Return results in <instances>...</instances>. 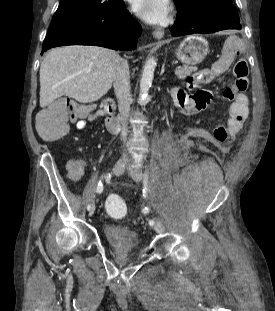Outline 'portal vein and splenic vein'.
Returning <instances> with one entry per match:
<instances>
[{
	"mask_svg": "<svg viewBox=\"0 0 275 311\" xmlns=\"http://www.w3.org/2000/svg\"><path fill=\"white\" fill-rule=\"evenodd\" d=\"M180 69L179 68H175V73H177Z\"/></svg>",
	"mask_w": 275,
	"mask_h": 311,
	"instance_id": "portal-vein-and-splenic-vein-1",
	"label": "portal vein and splenic vein"
}]
</instances>
